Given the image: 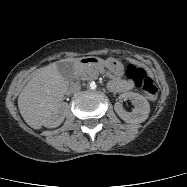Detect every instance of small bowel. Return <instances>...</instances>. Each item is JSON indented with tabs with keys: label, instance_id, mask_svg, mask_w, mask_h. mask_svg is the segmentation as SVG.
Segmentation results:
<instances>
[{
	"label": "small bowel",
	"instance_id": "1",
	"mask_svg": "<svg viewBox=\"0 0 187 187\" xmlns=\"http://www.w3.org/2000/svg\"><path fill=\"white\" fill-rule=\"evenodd\" d=\"M109 88L115 92H125L133 88V82L130 80L117 79L109 83Z\"/></svg>",
	"mask_w": 187,
	"mask_h": 187
}]
</instances>
